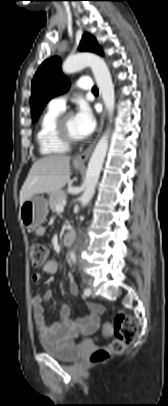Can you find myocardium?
<instances>
[{
  "label": "myocardium",
  "instance_id": "f54148a6",
  "mask_svg": "<svg viewBox=\"0 0 168 406\" xmlns=\"http://www.w3.org/2000/svg\"><path fill=\"white\" fill-rule=\"evenodd\" d=\"M72 115L73 112L71 111L62 112L55 124V132L58 139L69 146L77 144L81 141V138H75L67 131L66 121Z\"/></svg>",
  "mask_w": 168,
  "mask_h": 406
}]
</instances>
